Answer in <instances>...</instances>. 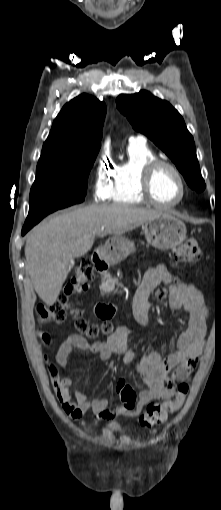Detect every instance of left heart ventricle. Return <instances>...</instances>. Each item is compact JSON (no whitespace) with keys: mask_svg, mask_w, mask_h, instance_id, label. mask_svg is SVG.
Returning a JSON list of instances; mask_svg holds the SVG:
<instances>
[{"mask_svg":"<svg viewBox=\"0 0 221 510\" xmlns=\"http://www.w3.org/2000/svg\"><path fill=\"white\" fill-rule=\"evenodd\" d=\"M152 191L158 201L171 203L180 197L181 186L172 170L167 167H161L154 174Z\"/></svg>","mask_w":221,"mask_h":510,"instance_id":"obj_1","label":"left heart ventricle"}]
</instances>
